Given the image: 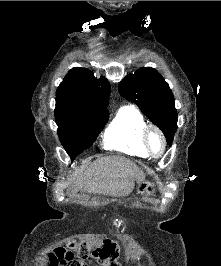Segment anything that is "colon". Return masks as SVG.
<instances>
[{
  "mask_svg": "<svg viewBox=\"0 0 221 266\" xmlns=\"http://www.w3.org/2000/svg\"><path fill=\"white\" fill-rule=\"evenodd\" d=\"M71 251L60 252H76L77 256L81 259H88L95 257L103 266H121L118 262V247L111 239H104L98 246L92 247L87 242L77 244L76 242L70 243ZM74 258V257H73Z\"/></svg>",
  "mask_w": 221,
  "mask_h": 266,
  "instance_id": "1",
  "label": "colon"
}]
</instances>
